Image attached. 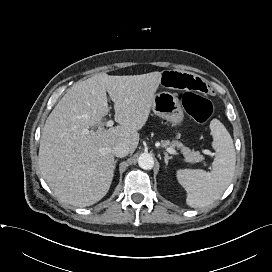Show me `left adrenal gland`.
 Masks as SVG:
<instances>
[{"mask_svg": "<svg viewBox=\"0 0 272 272\" xmlns=\"http://www.w3.org/2000/svg\"><path fill=\"white\" fill-rule=\"evenodd\" d=\"M165 157H164V161H165V164L168 165V161L172 158L170 156H168V154L165 152L164 153Z\"/></svg>", "mask_w": 272, "mask_h": 272, "instance_id": "left-adrenal-gland-1", "label": "left adrenal gland"}]
</instances>
